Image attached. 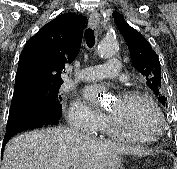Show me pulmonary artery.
<instances>
[{
    "label": "pulmonary artery",
    "instance_id": "pulmonary-artery-1",
    "mask_svg": "<svg viewBox=\"0 0 177 169\" xmlns=\"http://www.w3.org/2000/svg\"><path fill=\"white\" fill-rule=\"evenodd\" d=\"M121 67V63L116 58H110L105 65L86 67L78 74V78L83 81H99L115 76Z\"/></svg>",
    "mask_w": 177,
    "mask_h": 169
}]
</instances>
